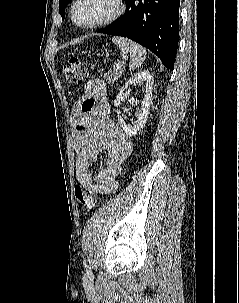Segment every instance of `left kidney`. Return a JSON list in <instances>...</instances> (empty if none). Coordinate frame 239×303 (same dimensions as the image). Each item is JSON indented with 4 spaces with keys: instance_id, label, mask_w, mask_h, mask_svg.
<instances>
[{
    "instance_id": "5707ae66",
    "label": "left kidney",
    "mask_w": 239,
    "mask_h": 303,
    "mask_svg": "<svg viewBox=\"0 0 239 303\" xmlns=\"http://www.w3.org/2000/svg\"><path fill=\"white\" fill-rule=\"evenodd\" d=\"M135 83H140L145 85L144 90V99L141 101V109L136 115V120L132 125L126 124L123 117L120 115V111L117 110L118 122L123 128L125 133L129 136L136 135L144 126L147 121V116L149 113L150 104L152 103V89H153V77L147 71H141L136 73L132 78H130L125 85L122 87L118 93L116 99L114 100V106L118 107L121 104V100L124 99V90L127 89L130 85Z\"/></svg>"
}]
</instances>
